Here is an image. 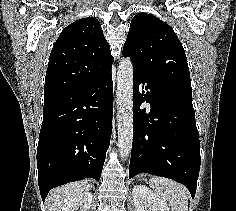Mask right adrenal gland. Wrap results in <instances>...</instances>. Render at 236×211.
<instances>
[{
    "mask_svg": "<svg viewBox=\"0 0 236 211\" xmlns=\"http://www.w3.org/2000/svg\"><path fill=\"white\" fill-rule=\"evenodd\" d=\"M91 188H94V186H93V185H91Z\"/></svg>",
    "mask_w": 236,
    "mask_h": 211,
    "instance_id": "obj_1",
    "label": "right adrenal gland"
}]
</instances>
